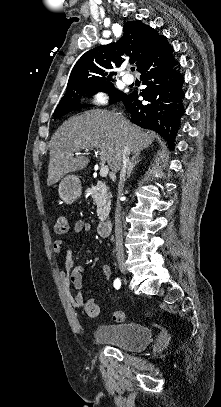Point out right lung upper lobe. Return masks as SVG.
<instances>
[{
    "instance_id": "cb5924a9",
    "label": "right lung upper lobe",
    "mask_w": 221,
    "mask_h": 407,
    "mask_svg": "<svg viewBox=\"0 0 221 407\" xmlns=\"http://www.w3.org/2000/svg\"><path fill=\"white\" fill-rule=\"evenodd\" d=\"M123 31L117 43L98 46L80 57L71 71L66 92L109 82L115 74L113 67H120L126 57L141 71L168 44L165 36L141 21L127 22Z\"/></svg>"
}]
</instances>
